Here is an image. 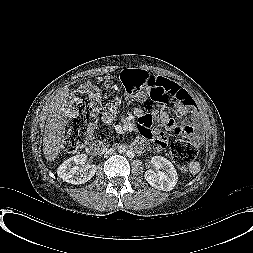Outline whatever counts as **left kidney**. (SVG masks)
<instances>
[{"instance_id":"left-kidney-1","label":"left kidney","mask_w":253,"mask_h":253,"mask_svg":"<svg viewBox=\"0 0 253 253\" xmlns=\"http://www.w3.org/2000/svg\"><path fill=\"white\" fill-rule=\"evenodd\" d=\"M153 169L145 172L146 181L154 188L162 191H171L178 181L177 172L173 164L162 156L151 159Z\"/></svg>"}]
</instances>
